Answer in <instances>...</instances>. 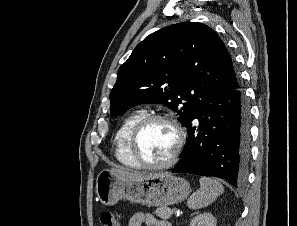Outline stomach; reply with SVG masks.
Here are the masks:
<instances>
[{"label":"stomach","instance_id":"obj_1","mask_svg":"<svg viewBox=\"0 0 297 226\" xmlns=\"http://www.w3.org/2000/svg\"><path fill=\"white\" fill-rule=\"evenodd\" d=\"M189 194L188 181L169 173L129 180L107 169L101 171L96 179V195L105 206L126 199L143 205L165 207L185 200Z\"/></svg>","mask_w":297,"mask_h":226}]
</instances>
